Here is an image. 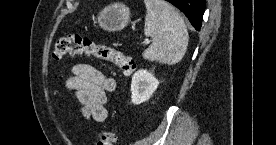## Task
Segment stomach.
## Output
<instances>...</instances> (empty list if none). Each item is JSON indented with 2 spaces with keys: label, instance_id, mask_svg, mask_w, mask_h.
<instances>
[{
  "label": "stomach",
  "instance_id": "0dacf381",
  "mask_svg": "<svg viewBox=\"0 0 276 145\" xmlns=\"http://www.w3.org/2000/svg\"><path fill=\"white\" fill-rule=\"evenodd\" d=\"M130 10L123 3H115L105 7L98 14L99 26L107 31H118L126 27L130 21Z\"/></svg>",
  "mask_w": 276,
  "mask_h": 145
}]
</instances>
